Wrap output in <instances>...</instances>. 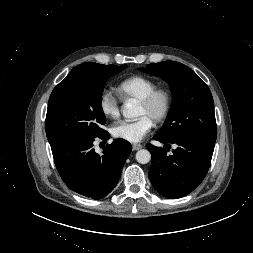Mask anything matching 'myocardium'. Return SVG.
Here are the masks:
<instances>
[{"mask_svg": "<svg viewBox=\"0 0 253 253\" xmlns=\"http://www.w3.org/2000/svg\"><path fill=\"white\" fill-rule=\"evenodd\" d=\"M158 101H161V106L153 117L156 123L163 122L171 111L173 103L171 91L166 87H156L139 100L140 104L148 108L155 106Z\"/></svg>", "mask_w": 253, "mask_h": 253, "instance_id": "obj_1", "label": "myocardium"}]
</instances>
